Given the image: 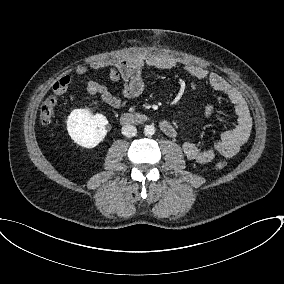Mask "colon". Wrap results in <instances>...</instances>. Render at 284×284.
<instances>
[{
  "label": "colon",
  "instance_id": "obj_1",
  "mask_svg": "<svg viewBox=\"0 0 284 284\" xmlns=\"http://www.w3.org/2000/svg\"><path fill=\"white\" fill-rule=\"evenodd\" d=\"M55 105L56 98L54 96H49L43 101L40 108V120L42 124L48 125L51 123L54 116ZM226 165L227 163L225 161H220L216 164V168L224 169Z\"/></svg>",
  "mask_w": 284,
  "mask_h": 284
}]
</instances>
